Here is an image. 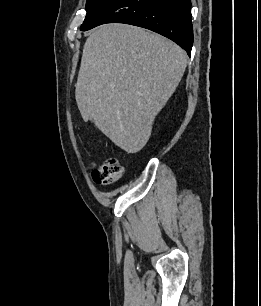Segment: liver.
I'll return each instance as SVG.
<instances>
[{
    "label": "liver",
    "instance_id": "obj_1",
    "mask_svg": "<svg viewBox=\"0 0 261 306\" xmlns=\"http://www.w3.org/2000/svg\"><path fill=\"white\" fill-rule=\"evenodd\" d=\"M186 66L184 50L159 34L127 24L102 25L83 47L75 89L81 116L116 146L136 153Z\"/></svg>",
    "mask_w": 261,
    "mask_h": 306
}]
</instances>
